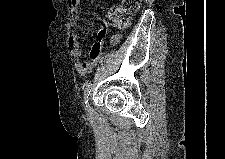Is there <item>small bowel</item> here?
Listing matches in <instances>:
<instances>
[{"label":"small bowel","mask_w":225,"mask_h":159,"mask_svg":"<svg viewBox=\"0 0 225 159\" xmlns=\"http://www.w3.org/2000/svg\"><path fill=\"white\" fill-rule=\"evenodd\" d=\"M81 14V7L79 5H72L71 15L69 19V37L67 40L68 49L75 57H81L83 54V49L80 47L77 33V25L79 17ZM106 30L104 27L100 28L97 34V41L93 45V48L90 51V60L88 61H76L75 71L78 76L83 77L89 72H91L94 66L97 63L99 57V51L102 47L104 41ZM117 38H114L116 40Z\"/></svg>","instance_id":"obj_1"}]
</instances>
